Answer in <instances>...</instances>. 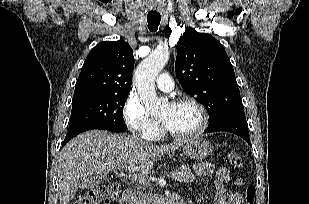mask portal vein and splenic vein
Masks as SVG:
<instances>
[{
    "label": "portal vein and splenic vein",
    "instance_id": "obj_1",
    "mask_svg": "<svg viewBox=\"0 0 309 204\" xmlns=\"http://www.w3.org/2000/svg\"><path fill=\"white\" fill-rule=\"evenodd\" d=\"M124 166H122V168H123ZM119 169V168H118ZM169 176H173V172H170L169 174H168ZM130 179H132V180H135V181H138L139 183H145L147 180L145 179V177H138L137 175H129L128 176Z\"/></svg>",
    "mask_w": 309,
    "mask_h": 204
}]
</instances>
